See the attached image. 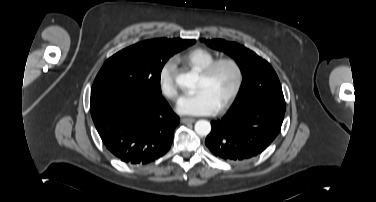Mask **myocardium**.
Listing matches in <instances>:
<instances>
[{"label": "myocardium", "mask_w": 376, "mask_h": 202, "mask_svg": "<svg viewBox=\"0 0 376 202\" xmlns=\"http://www.w3.org/2000/svg\"><path fill=\"white\" fill-rule=\"evenodd\" d=\"M222 65H228L233 69L235 73V83L228 97L220 105V108H219L220 111H224L231 106V104L234 102L239 92L241 91L243 83H244L243 68L241 64L239 63V61H237L233 57H222V58H218L214 60L207 67H205L203 70L200 71V75L206 79H209L215 74L217 69Z\"/></svg>", "instance_id": "f54148a6"}]
</instances>
